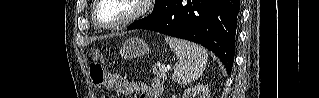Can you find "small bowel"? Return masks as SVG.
I'll list each match as a JSON object with an SVG mask.
<instances>
[{"label": "small bowel", "instance_id": "small-bowel-1", "mask_svg": "<svg viewBox=\"0 0 319 98\" xmlns=\"http://www.w3.org/2000/svg\"><path fill=\"white\" fill-rule=\"evenodd\" d=\"M108 87L114 88L123 95L138 93L139 98H159V93L162 90L160 82L156 81L152 85H147L125 80L118 75L110 76Z\"/></svg>", "mask_w": 319, "mask_h": 98}]
</instances>
